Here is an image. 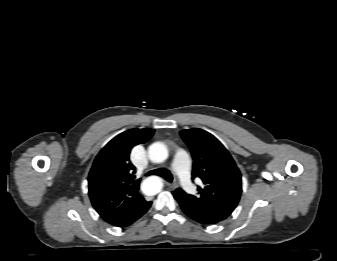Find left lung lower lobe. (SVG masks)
Returning a JSON list of instances; mask_svg holds the SVG:
<instances>
[{"instance_id": "1", "label": "left lung lower lobe", "mask_w": 337, "mask_h": 261, "mask_svg": "<svg viewBox=\"0 0 337 261\" xmlns=\"http://www.w3.org/2000/svg\"><path fill=\"white\" fill-rule=\"evenodd\" d=\"M174 197H176V195H174ZM182 210L184 211V213L190 217L191 219H193L194 221L202 224V225H212V224H216V222L214 221H211L207 218H204L203 216H201L200 214L192 211L191 209L185 207V206H182L180 205Z\"/></svg>"}]
</instances>
